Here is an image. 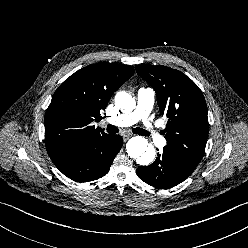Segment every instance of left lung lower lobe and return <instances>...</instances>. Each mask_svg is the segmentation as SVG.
Returning a JSON list of instances; mask_svg holds the SVG:
<instances>
[{
    "mask_svg": "<svg viewBox=\"0 0 248 248\" xmlns=\"http://www.w3.org/2000/svg\"><path fill=\"white\" fill-rule=\"evenodd\" d=\"M194 169L163 149V153L158 154L154 163L140 166L136 173L145 183L159 189H167L186 180Z\"/></svg>",
    "mask_w": 248,
    "mask_h": 248,
    "instance_id": "left-lung-lower-lobe-1",
    "label": "left lung lower lobe"
}]
</instances>
